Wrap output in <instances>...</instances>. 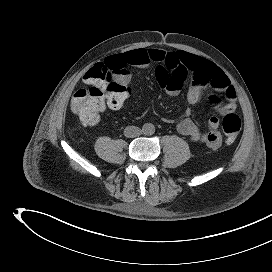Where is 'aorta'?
<instances>
[{"mask_svg":"<svg viewBox=\"0 0 272 272\" xmlns=\"http://www.w3.org/2000/svg\"><path fill=\"white\" fill-rule=\"evenodd\" d=\"M144 135H152L155 132V126L152 123H145L142 127Z\"/></svg>","mask_w":272,"mask_h":272,"instance_id":"1","label":"aorta"}]
</instances>
